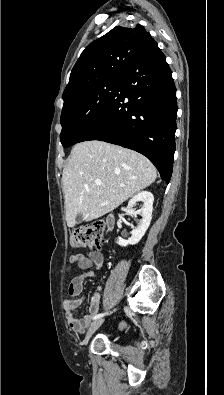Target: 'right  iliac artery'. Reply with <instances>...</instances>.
<instances>
[{"mask_svg":"<svg viewBox=\"0 0 224 395\" xmlns=\"http://www.w3.org/2000/svg\"><path fill=\"white\" fill-rule=\"evenodd\" d=\"M114 311H115V310H114ZM106 314H108V313H100V314H97V315H95V316L93 317V320L100 319V318H102L103 316H105Z\"/></svg>","mask_w":224,"mask_h":395,"instance_id":"obj_1","label":"right iliac artery"}]
</instances>
